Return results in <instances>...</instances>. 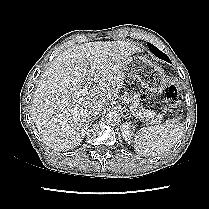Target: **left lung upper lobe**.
I'll return each mask as SVG.
<instances>
[{
	"mask_svg": "<svg viewBox=\"0 0 209 209\" xmlns=\"http://www.w3.org/2000/svg\"><path fill=\"white\" fill-rule=\"evenodd\" d=\"M147 45H148V48L149 50L154 54L156 55L158 58L160 59H163L169 63L170 62V59L168 58V56L166 54H164L162 51H160L158 48H156L154 45H152L151 43H148L147 42Z\"/></svg>",
	"mask_w": 209,
	"mask_h": 209,
	"instance_id": "1",
	"label": "left lung upper lobe"
}]
</instances>
